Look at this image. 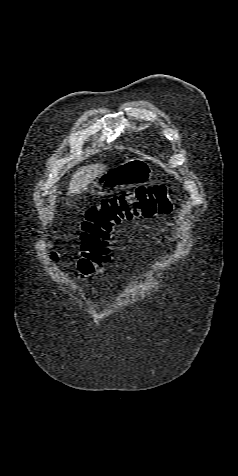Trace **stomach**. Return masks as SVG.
<instances>
[{
    "label": "stomach",
    "mask_w": 238,
    "mask_h": 476,
    "mask_svg": "<svg viewBox=\"0 0 238 476\" xmlns=\"http://www.w3.org/2000/svg\"><path fill=\"white\" fill-rule=\"evenodd\" d=\"M148 169V164L125 163L104 172L96 185L110 188L126 183H142L143 179L148 178Z\"/></svg>",
    "instance_id": "1"
}]
</instances>
